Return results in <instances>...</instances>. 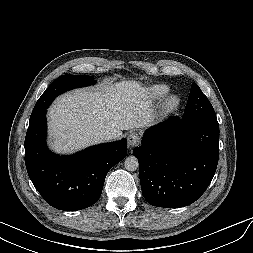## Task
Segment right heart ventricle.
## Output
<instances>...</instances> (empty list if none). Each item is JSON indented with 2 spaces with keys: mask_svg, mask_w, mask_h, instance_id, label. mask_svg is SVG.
Returning <instances> with one entry per match:
<instances>
[{
  "mask_svg": "<svg viewBox=\"0 0 253 253\" xmlns=\"http://www.w3.org/2000/svg\"><path fill=\"white\" fill-rule=\"evenodd\" d=\"M170 91V88L164 84H155L149 87L148 93L151 99L161 100L163 99Z\"/></svg>",
  "mask_w": 253,
  "mask_h": 253,
  "instance_id": "e07e8e85",
  "label": "right heart ventricle"
}]
</instances>
